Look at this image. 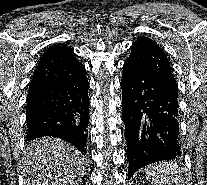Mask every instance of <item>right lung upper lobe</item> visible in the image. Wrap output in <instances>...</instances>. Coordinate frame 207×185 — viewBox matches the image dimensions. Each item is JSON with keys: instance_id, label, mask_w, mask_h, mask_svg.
<instances>
[{"instance_id": "cb5924a9", "label": "right lung upper lobe", "mask_w": 207, "mask_h": 185, "mask_svg": "<svg viewBox=\"0 0 207 185\" xmlns=\"http://www.w3.org/2000/svg\"><path fill=\"white\" fill-rule=\"evenodd\" d=\"M85 71L73 50L64 44L50 46L40 58L31 80L28 94L56 85L60 81L77 77Z\"/></svg>"}]
</instances>
